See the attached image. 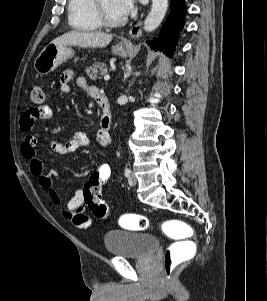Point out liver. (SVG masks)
Returning a JSON list of instances; mask_svg holds the SVG:
<instances>
[{"instance_id": "6515ba94", "label": "liver", "mask_w": 267, "mask_h": 301, "mask_svg": "<svg viewBox=\"0 0 267 301\" xmlns=\"http://www.w3.org/2000/svg\"><path fill=\"white\" fill-rule=\"evenodd\" d=\"M113 36L101 32L70 31L54 39L52 44L76 45L80 47L102 48L106 47Z\"/></svg>"}]
</instances>
